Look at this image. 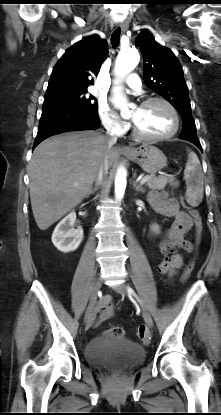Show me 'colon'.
I'll list each match as a JSON object with an SVG mask.
<instances>
[{
	"mask_svg": "<svg viewBox=\"0 0 221 415\" xmlns=\"http://www.w3.org/2000/svg\"><path fill=\"white\" fill-rule=\"evenodd\" d=\"M180 184H181V179L179 177H172L170 179V182H169V187L171 189H178L180 187ZM178 199H180V202L182 203L181 207L182 208L186 207L189 214L191 215V217L194 220L195 227H196V242H198L199 237H200L201 228H202V222H201L200 214L195 208L190 207V206H186V204L184 203L185 202V197L183 196V194H178ZM192 268H193V263L191 262L185 269V272H184L183 277H182L183 282L186 281L189 278V276L191 274V271H192ZM137 333H138V337L142 341H148L150 339L148 329L145 325H140L138 327ZM109 335L112 338H122L124 336V330L120 327H113L112 329L109 330Z\"/></svg>",
	"mask_w": 221,
	"mask_h": 415,
	"instance_id": "1",
	"label": "colon"
}]
</instances>
